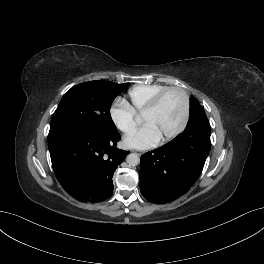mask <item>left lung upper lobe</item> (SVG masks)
<instances>
[{
  "instance_id": "5c2ea615",
  "label": "left lung upper lobe",
  "mask_w": 264,
  "mask_h": 264,
  "mask_svg": "<svg viewBox=\"0 0 264 264\" xmlns=\"http://www.w3.org/2000/svg\"><path fill=\"white\" fill-rule=\"evenodd\" d=\"M203 121H205V123L210 125L203 106L200 105V103L197 101V99L194 96H191L190 117L187 126H191L193 124H202Z\"/></svg>"
}]
</instances>
